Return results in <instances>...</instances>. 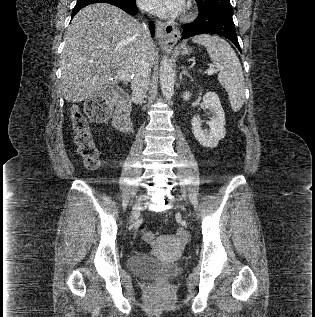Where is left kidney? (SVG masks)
I'll return each instance as SVG.
<instances>
[{"label": "left kidney", "instance_id": "5707ae66", "mask_svg": "<svg viewBox=\"0 0 315 317\" xmlns=\"http://www.w3.org/2000/svg\"><path fill=\"white\" fill-rule=\"evenodd\" d=\"M191 94L186 92L184 100H189ZM203 104L212 113V119L208 123L209 131L202 129L201 121L197 116H194L191 121L192 132L196 140L204 147L214 148L218 142L225 137V113L220 103L219 97L214 92H207L203 96Z\"/></svg>", "mask_w": 315, "mask_h": 317}]
</instances>
